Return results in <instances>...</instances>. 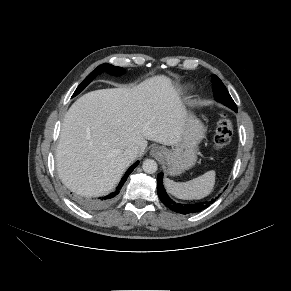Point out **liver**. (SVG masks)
<instances>
[{
	"mask_svg": "<svg viewBox=\"0 0 291 291\" xmlns=\"http://www.w3.org/2000/svg\"><path fill=\"white\" fill-rule=\"evenodd\" d=\"M186 117L178 90L165 76L86 93L65 114L56 152L59 177L77 194H106L144 153L147 140L177 144ZM131 145L139 147L132 160L124 154Z\"/></svg>",
	"mask_w": 291,
	"mask_h": 291,
	"instance_id": "liver-1",
	"label": "liver"
}]
</instances>
